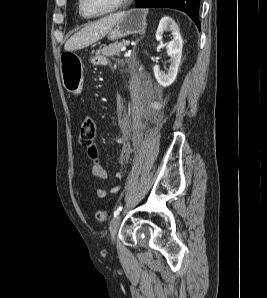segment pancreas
<instances>
[{
	"label": "pancreas",
	"instance_id": "1",
	"mask_svg": "<svg viewBox=\"0 0 267 298\" xmlns=\"http://www.w3.org/2000/svg\"><path fill=\"white\" fill-rule=\"evenodd\" d=\"M126 44V41L114 42L109 46H104L102 49L97 50L96 54H102L106 57H113L120 55V49Z\"/></svg>",
	"mask_w": 267,
	"mask_h": 298
}]
</instances>
